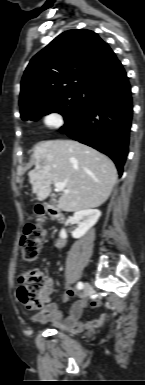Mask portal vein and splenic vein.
Returning a JSON list of instances; mask_svg holds the SVG:
<instances>
[{"instance_id": "obj_1", "label": "portal vein and splenic vein", "mask_w": 145, "mask_h": 385, "mask_svg": "<svg viewBox=\"0 0 145 385\" xmlns=\"http://www.w3.org/2000/svg\"><path fill=\"white\" fill-rule=\"evenodd\" d=\"M54 185L58 191H63L64 193H70L71 192L70 190L65 189V183L64 182H55Z\"/></svg>"}]
</instances>
